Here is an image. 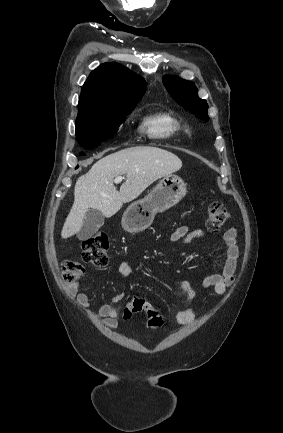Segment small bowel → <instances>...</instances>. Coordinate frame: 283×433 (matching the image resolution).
Listing matches in <instances>:
<instances>
[{"mask_svg": "<svg viewBox=\"0 0 283 433\" xmlns=\"http://www.w3.org/2000/svg\"><path fill=\"white\" fill-rule=\"evenodd\" d=\"M204 237L205 236L202 230H190L188 226L182 225L171 233L170 240L172 242L192 243L196 240H202ZM223 240L227 249L221 271L219 273L209 275L201 281V286L203 288H211L214 293L219 296H224L226 294L227 290L230 288L236 278L237 261L239 256L237 230L235 228H228L224 232ZM118 273L123 279H128L132 276L133 270L128 262L122 261L118 266ZM182 289L190 299H194L196 297L197 289L191 282H183ZM71 293L82 307H89V298L87 294L79 290V284L77 282H74L71 285ZM123 295V291L114 294L111 297V303L103 304L99 308L98 313L105 326L110 328L115 327L117 323L118 312L112 304L121 301ZM194 319L195 311L192 307L180 310L175 316L176 323L183 326L190 325Z\"/></svg>", "mask_w": 283, "mask_h": 433, "instance_id": "small-bowel-1", "label": "small bowel"}]
</instances>
